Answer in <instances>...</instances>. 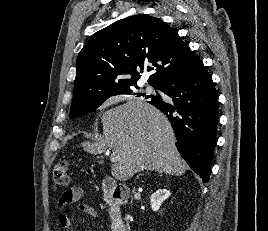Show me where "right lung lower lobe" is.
<instances>
[{"label": "right lung lower lobe", "mask_w": 268, "mask_h": 231, "mask_svg": "<svg viewBox=\"0 0 268 231\" xmlns=\"http://www.w3.org/2000/svg\"><path fill=\"white\" fill-rule=\"evenodd\" d=\"M159 89L172 102H165L158 95L149 103L166 115L181 156L207 182L218 124V96L210 74L202 62L192 71L167 80Z\"/></svg>", "instance_id": "obj_1"}]
</instances>
